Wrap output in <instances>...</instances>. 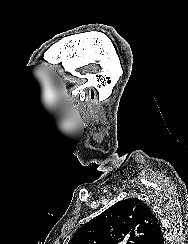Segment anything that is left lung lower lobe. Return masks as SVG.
<instances>
[{
	"label": "left lung lower lobe",
	"mask_w": 188,
	"mask_h": 244,
	"mask_svg": "<svg viewBox=\"0 0 188 244\" xmlns=\"http://www.w3.org/2000/svg\"><path fill=\"white\" fill-rule=\"evenodd\" d=\"M147 244H164V238L160 223L156 225L153 234L151 235Z\"/></svg>",
	"instance_id": "0a47b994"
}]
</instances>
